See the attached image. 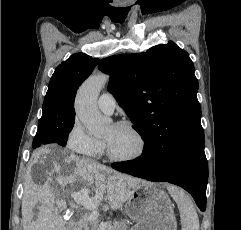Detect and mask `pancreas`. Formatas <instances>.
I'll list each match as a JSON object with an SVG mask.
<instances>
[{
  "mask_svg": "<svg viewBox=\"0 0 241 230\" xmlns=\"http://www.w3.org/2000/svg\"><path fill=\"white\" fill-rule=\"evenodd\" d=\"M95 221H92L90 214H85L75 225L72 230H90V226H93ZM130 222L128 220H123L121 222H114L108 224L106 230H128V225ZM132 230V229H131Z\"/></svg>",
  "mask_w": 241,
  "mask_h": 230,
  "instance_id": "obj_1",
  "label": "pancreas"
}]
</instances>
